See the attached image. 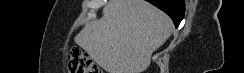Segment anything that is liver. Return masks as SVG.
I'll list each match as a JSON object with an SVG mask.
<instances>
[{
  "instance_id": "obj_1",
  "label": "liver",
  "mask_w": 244,
  "mask_h": 73,
  "mask_svg": "<svg viewBox=\"0 0 244 73\" xmlns=\"http://www.w3.org/2000/svg\"><path fill=\"white\" fill-rule=\"evenodd\" d=\"M172 30L169 16L144 0H111L75 42L107 73H142Z\"/></svg>"
}]
</instances>
